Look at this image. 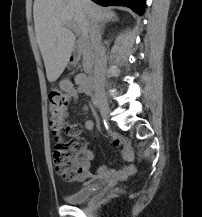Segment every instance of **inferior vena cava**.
Instances as JSON below:
<instances>
[{
    "label": "inferior vena cava",
    "instance_id": "1",
    "mask_svg": "<svg viewBox=\"0 0 202 217\" xmlns=\"http://www.w3.org/2000/svg\"><path fill=\"white\" fill-rule=\"evenodd\" d=\"M89 33L95 51L94 84L96 87H101L105 81L107 59L101 43V28L97 21H91Z\"/></svg>",
    "mask_w": 202,
    "mask_h": 217
}]
</instances>
